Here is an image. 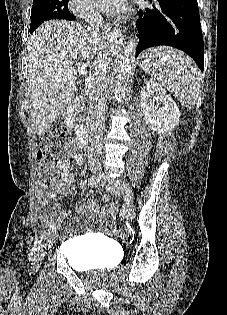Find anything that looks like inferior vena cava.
Instances as JSON below:
<instances>
[{"label": "inferior vena cava", "mask_w": 227, "mask_h": 315, "mask_svg": "<svg viewBox=\"0 0 227 315\" xmlns=\"http://www.w3.org/2000/svg\"><path fill=\"white\" fill-rule=\"evenodd\" d=\"M88 23L87 30L92 32L95 37H99V30L102 26L100 12L93 7H86L83 14ZM108 65H100L93 78V91L90 96V154L93 155L102 149V138L105 131V94L109 84Z\"/></svg>", "instance_id": "602c4592"}]
</instances>
